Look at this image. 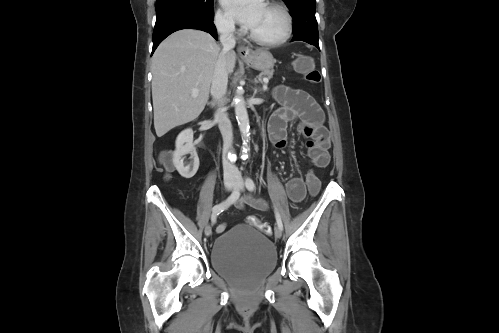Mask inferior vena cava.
Returning a JSON list of instances; mask_svg holds the SVG:
<instances>
[{"mask_svg":"<svg viewBox=\"0 0 499 333\" xmlns=\"http://www.w3.org/2000/svg\"><path fill=\"white\" fill-rule=\"evenodd\" d=\"M220 30V42L223 46L222 54L218 58L211 84V95L218 103V109L215 113V121L218 123L219 130L223 138V171L224 174H237V167L227 159L228 152L232 149L233 131L232 125L223 107V97L227 91L228 73L226 70L225 53L235 47L233 37L234 24L230 22H221L218 24Z\"/></svg>","mask_w":499,"mask_h":333,"instance_id":"obj_1","label":"inferior vena cava"}]
</instances>
